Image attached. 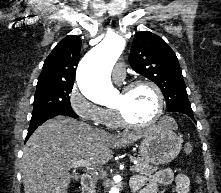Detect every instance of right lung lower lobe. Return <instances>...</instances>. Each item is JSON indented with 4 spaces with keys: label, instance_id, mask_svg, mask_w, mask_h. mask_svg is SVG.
I'll use <instances>...</instances> for the list:
<instances>
[{
    "label": "right lung lower lobe",
    "instance_id": "obj_1",
    "mask_svg": "<svg viewBox=\"0 0 221 193\" xmlns=\"http://www.w3.org/2000/svg\"><path fill=\"white\" fill-rule=\"evenodd\" d=\"M57 115H65V116H70V117H73V118H78V115L74 111H69V110L50 111V112H45L41 115L32 117L29 129H28V134L26 136V140L30 137V135L36 130V128L39 125H41L46 120H48L50 118H53Z\"/></svg>",
    "mask_w": 221,
    "mask_h": 193
}]
</instances>
